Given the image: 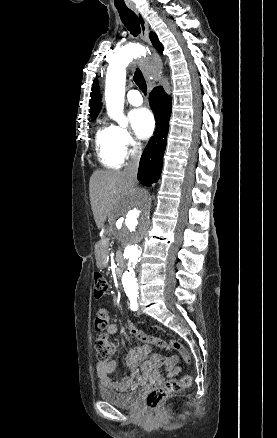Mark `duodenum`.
<instances>
[{"label": "duodenum", "instance_id": "obj_1", "mask_svg": "<svg viewBox=\"0 0 277 438\" xmlns=\"http://www.w3.org/2000/svg\"><path fill=\"white\" fill-rule=\"evenodd\" d=\"M115 260H116L117 266H118L120 269L124 268V266H125V260H124L123 254H122L121 252H117V253H116V255H115Z\"/></svg>", "mask_w": 277, "mask_h": 438}]
</instances>
